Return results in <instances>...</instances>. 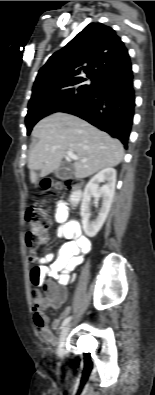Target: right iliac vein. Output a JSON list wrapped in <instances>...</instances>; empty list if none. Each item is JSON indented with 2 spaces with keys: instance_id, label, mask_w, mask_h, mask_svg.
Masks as SVG:
<instances>
[{
  "instance_id": "right-iliac-vein-1",
  "label": "right iliac vein",
  "mask_w": 155,
  "mask_h": 395,
  "mask_svg": "<svg viewBox=\"0 0 155 395\" xmlns=\"http://www.w3.org/2000/svg\"><path fill=\"white\" fill-rule=\"evenodd\" d=\"M69 330H70V325H66L60 332L58 346H57V354L60 358H63L64 353H65L64 343H65L66 337L69 333Z\"/></svg>"
}]
</instances>
